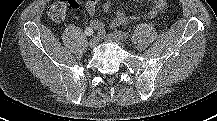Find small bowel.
I'll return each mask as SVG.
<instances>
[{"instance_id": "small-bowel-1", "label": "small bowel", "mask_w": 217, "mask_h": 121, "mask_svg": "<svg viewBox=\"0 0 217 121\" xmlns=\"http://www.w3.org/2000/svg\"><path fill=\"white\" fill-rule=\"evenodd\" d=\"M100 1L101 0H87L85 8L90 16L95 15L97 4ZM135 1H139V0H135ZM152 2H153V7L147 13L148 18L155 17L159 12L163 11L166 8V0H152ZM69 6L71 8L77 7L78 6L77 0H69ZM103 8L105 11H109L111 8L110 2L106 1L103 5ZM139 18L140 17L138 15H133L131 17V19L133 20H138ZM128 21H129V17L124 12L118 11L116 12L114 18L111 20L110 26L115 28V27L127 24ZM90 26L92 29L97 30L98 32L104 34V31H105L104 25L100 20L95 19V18L92 19L90 21Z\"/></svg>"}]
</instances>
